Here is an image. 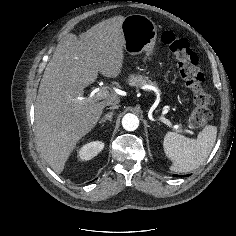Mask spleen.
I'll return each instance as SVG.
<instances>
[{
	"mask_svg": "<svg viewBox=\"0 0 236 236\" xmlns=\"http://www.w3.org/2000/svg\"><path fill=\"white\" fill-rule=\"evenodd\" d=\"M217 127L207 125L198 134L197 139H190L175 132L164 136L163 148L172 161L170 169L174 172H190L207 159L215 144Z\"/></svg>",
	"mask_w": 236,
	"mask_h": 236,
	"instance_id": "obj_1",
	"label": "spleen"
}]
</instances>
